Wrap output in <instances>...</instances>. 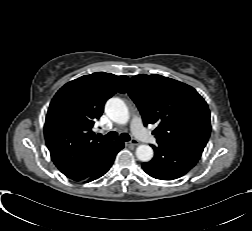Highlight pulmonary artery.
Returning a JSON list of instances; mask_svg holds the SVG:
<instances>
[{"instance_id":"e3ab8cb5","label":"pulmonary artery","mask_w":252,"mask_h":231,"mask_svg":"<svg viewBox=\"0 0 252 231\" xmlns=\"http://www.w3.org/2000/svg\"><path fill=\"white\" fill-rule=\"evenodd\" d=\"M130 127L134 135L143 142L151 143L154 141L153 135H151L142 125L140 117H133L130 121Z\"/></svg>"}]
</instances>
